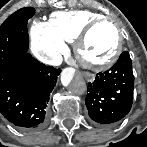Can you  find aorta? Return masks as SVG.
I'll return each instance as SVG.
<instances>
[{"mask_svg": "<svg viewBox=\"0 0 147 147\" xmlns=\"http://www.w3.org/2000/svg\"><path fill=\"white\" fill-rule=\"evenodd\" d=\"M84 85H79L75 88V92H78V93H83L84 92Z\"/></svg>", "mask_w": 147, "mask_h": 147, "instance_id": "aorta-1", "label": "aorta"}]
</instances>
